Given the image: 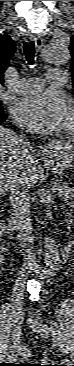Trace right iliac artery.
<instances>
[{
	"label": "right iliac artery",
	"mask_w": 74,
	"mask_h": 366,
	"mask_svg": "<svg viewBox=\"0 0 74 366\" xmlns=\"http://www.w3.org/2000/svg\"><path fill=\"white\" fill-rule=\"evenodd\" d=\"M16 342H17V340H16ZM16 342L14 343V348L10 351V355H9V357H14V356H17V351H16V346H15V344H16Z\"/></svg>",
	"instance_id": "obj_1"
}]
</instances>
